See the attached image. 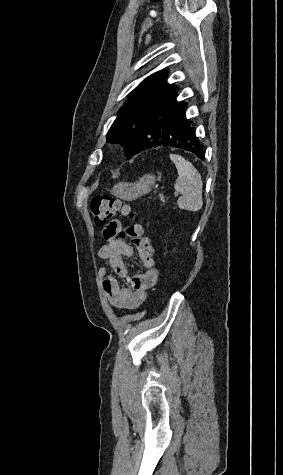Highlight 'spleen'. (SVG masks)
<instances>
[{
    "mask_svg": "<svg viewBox=\"0 0 283 475\" xmlns=\"http://www.w3.org/2000/svg\"><path fill=\"white\" fill-rule=\"evenodd\" d=\"M169 158L175 164L178 172L174 188L176 192L182 194L181 198L177 200L178 208L189 210V212H198L203 206V184L199 172L182 156L170 154Z\"/></svg>",
    "mask_w": 283,
    "mask_h": 475,
    "instance_id": "3e777b00",
    "label": "spleen"
}]
</instances>
